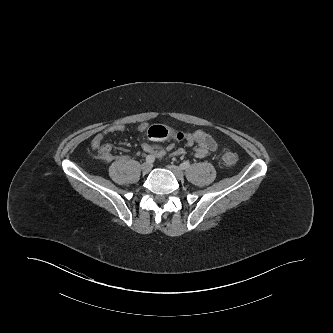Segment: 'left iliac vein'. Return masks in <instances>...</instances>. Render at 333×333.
I'll list each match as a JSON object with an SVG mask.
<instances>
[{
  "mask_svg": "<svg viewBox=\"0 0 333 333\" xmlns=\"http://www.w3.org/2000/svg\"><path fill=\"white\" fill-rule=\"evenodd\" d=\"M168 169L175 175V177L179 180L184 178V173L182 169L175 165H168Z\"/></svg>",
  "mask_w": 333,
  "mask_h": 333,
  "instance_id": "left-iliac-vein-1",
  "label": "left iliac vein"
}]
</instances>
